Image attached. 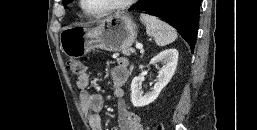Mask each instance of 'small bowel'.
I'll return each instance as SVG.
<instances>
[{
  "mask_svg": "<svg viewBox=\"0 0 257 130\" xmlns=\"http://www.w3.org/2000/svg\"><path fill=\"white\" fill-rule=\"evenodd\" d=\"M129 62L126 58H119L111 70V83L113 95L118 98L117 103V124L118 130H144L141 117L127 108L124 96V85L129 78ZM80 89V103L83 111L88 116L89 125L92 130H103L100 111L103 108L104 100L101 94L90 92V76L87 72L78 76L76 81Z\"/></svg>",
  "mask_w": 257,
  "mask_h": 130,
  "instance_id": "c3829d8e",
  "label": "small bowel"
}]
</instances>
